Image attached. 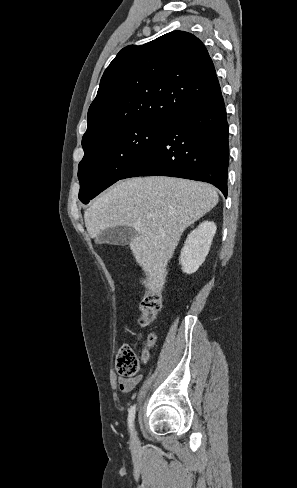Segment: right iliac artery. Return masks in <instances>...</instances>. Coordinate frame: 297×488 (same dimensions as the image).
<instances>
[{
	"label": "right iliac artery",
	"instance_id": "82829eb1",
	"mask_svg": "<svg viewBox=\"0 0 297 488\" xmlns=\"http://www.w3.org/2000/svg\"><path fill=\"white\" fill-rule=\"evenodd\" d=\"M134 418H135V406H132L129 409V414H128V426H129V429L131 431H132V427H133Z\"/></svg>",
	"mask_w": 297,
	"mask_h": 488
}]
</instances>
